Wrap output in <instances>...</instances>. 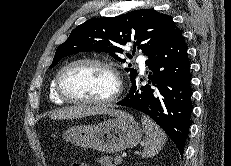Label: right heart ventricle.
Segmentation results:
<instances>
[{
	"label": "right heart ventricle",
	"mask_w": 231,
	"mask_h": 166,
	"mask_svg": "<svg viewBox=\"0 0 231 166\" xmlns=\"http://www.w3.org/2000/svg\"><path fill=\"white\" fill-rule=\"evenodd\" d=\"M50 99L52 102L56 104L63 103V100L58 96L56 92L54 80L51 82V85H50Z\"/></svg>",
	"instance_id": "1"
}]
</instances>
